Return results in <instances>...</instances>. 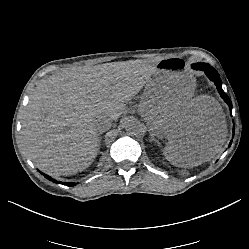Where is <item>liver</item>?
<instances>
[{"label":"liver","mask_w":249,"mask_h":249,"mask_svg":"<svg viewBox=\"0 0 249 249\" xmlns=\"http://www.w3.org/2000/svg\"><path fill=\"white\" fill-rule=\"evenodd\" d=\"M155 68L103 64L72 67L37 84L22 116V142L34 165L55 175L82 172L94 161L100 138L96 119L117 120L150 81ZM150 133L166 137L179 167L210 161L222 151L227 124L214 97L172 100L163 89L142 95L137 109Z\"/></svg>","instance_id":"1"}]
</instances>
